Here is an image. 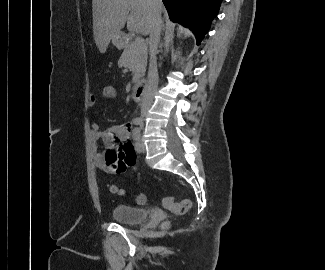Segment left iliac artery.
Listing matches in <instances>:
<instances>
[{"label": "left iliac artery", "instance_id": "left-iliac-artery-1", "mask_svg": "<svg viewBox=\"0 0 325 270\" xmlns=\"http://www.w3.org/2000/svg\"><path fill=\"white\" fill-rule=\"evenodd\" d=\"M133 140H134V146H135L136 150L138 151V149L140 147V130H139V128H135L133 130Z\"/></svg>", "mask_w": 325, "mask_h": 270}]
</instances>
